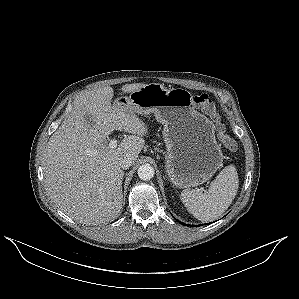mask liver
I'll return each instance as SVG.
<instances>
[{"label":"liver","mask_w":299,"mask_h":299,"mask_svg":"<svg viewBox=\"0 0 299 299\" xmlns=\"http://www.w3.org/2000/svg\"><path fill=\"white\" fill-rule=\"evenodd\" d=\"M146 84L122 86L123 93ZM113 88L98 87L77 95L70 114L50 137L43 154L44 181L51 200L79 223L113 221L122 209L124 172L119 159L136 161L144 147L147 128L133 108L114 101ZM94 121L91 127L85 115ZM114 130L125 131L117 148L104 144ZM92 151H97L92 154Z\"/></svg>","instance_id":"6515ba94"}]
</instances>
